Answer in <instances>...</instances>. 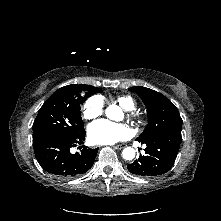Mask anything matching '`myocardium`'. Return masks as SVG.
<instances>
[{
	"instance_id": "myocardium-1",
	"label": "myocardium",
	"mask_w": 221,
	"mask_h": 221,
	"mask_svg": "<svg viewBox=\"0 0 221 221\" xmlns=\"http://www.w3.org/2000/svg\"><path fill=\"white\" fill-rule=\"evenodd\" d=\"M128 116L133 118V117H136V114L130 113Z\"/></svg>"
}]
</instances>
